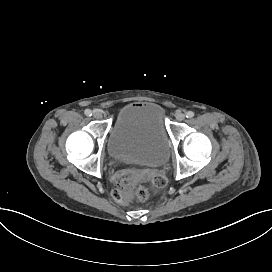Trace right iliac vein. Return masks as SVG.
Returning <instances> with one entry per match:
<instances>
[{"label": "right iliac vein", "mask_w": 272, "mask_h": 272, "mask_svg": "<svg viewBox=\"0 0 272 272\" xmlns=\"http://www.w3.org/2000/svg\"><path fill=\"white\" fill-rule=\"evenodd\" d=\"M93 116H94V118L97 119V120H99L100 118H102V114H101V112H99V111H95V112L93 113Z\"/></svg>", "instance_id": "1"}]
</instances>
